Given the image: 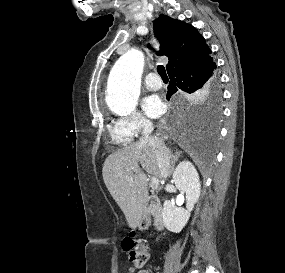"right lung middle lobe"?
Instances as JSON below:
<instances>
[{
    "label": "right lung middle lobe",
    "instance_id": "1",
    "mask_svg": "<svg viewBox=\"0 0 285 273\" xmlns=\"http://www.w3.org/2000/svg\"><path fill=\"white\" fill-rule=\"evenodd\" d=\"M217 83H218V78H217V75H216L215 79L208 86H206L203 90L196 92L192 96L193 101H197L200 98L207 97V96H209L211 94L215 95L214 91H215V89L217 87ZM218 111H219L218 109H215L214 111L211 112L210 115H212V117H217L218 113H219Z\"/></svg>",
    "mask_w": 285,
    "mask_h": 273
}]
</instances>
